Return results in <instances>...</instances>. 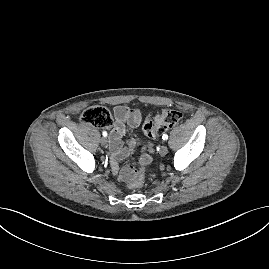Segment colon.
I'll list each match as a JSON object with an SVG mask.
<instances>
[{"label":"colon","mask_w":269,"mask_h":269,"mask_svg":"<svg viewBox=\"0 0 269 269\" xmlns=\"http://www.w3.org/2000/svg\"><path fill=\"white\" fill-rule=\"evenodd\" d=\"M182 114L174 109H163L152 118L146 119L143 125V131L149 138L173 128L181 120ZM81 121L95 127H109L112 124V116L110 111L104 106H91L85 109L80 117ZM144 183V175L142 172L135 173L130 181L131 188H139Z\"/></svg>","instance_id":"5ec220e1"}]
</instances>
